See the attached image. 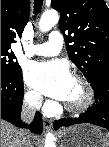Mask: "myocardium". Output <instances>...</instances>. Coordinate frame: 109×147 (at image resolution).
I'll use <instances>...</instances> for the list:
<instances>
[{"instance_id":"f54148a6","label":"myocardium","mask_w":109,"mask_h":147,"mask_svg":"<svg viewBox=\"0 0 109 147\" xmlns=\"http://www.w3.org/2000/svg\"><path fill=\"white\" fill-rule=\"evenodd\" d=\"M72 78L80 81L81 84L84 86V88L86 90V98H85L84 102H82L80 105L71 106L65 102L63 107L69 113L79 114V113L86 111L92 105L94 98H95V93H94V89H93L90 81L83 74L74 73L72 75ZM49 113L52 114V112H50V111H49Z\"/></svg>"}]
</instances>
